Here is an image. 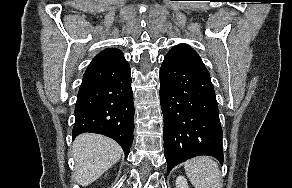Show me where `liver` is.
Returning a JSON list of instances; mask_svg holds the SVG:
<instances>
[{"label":"liver","mask_w":292,"mask_h":188,"mask_svg":"<svg viewBox=\"0 0 292 188\" xmlns=\"http://www.w3.org/2000/svg\"><path fill=\"white\" fill-rule=\"evenodd\" d=\"M123 150L112 139L92 133L79 135L73 143L75 178L82 186L98 179L121 157Z\"/></svg>","instance_id":"6515ba94"}]
</instances>
